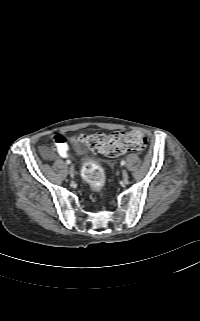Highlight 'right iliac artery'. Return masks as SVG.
I'll return each instance as SVG.
<instances>
[{
    "label": "right iliac artery",
    "instance_id": "obj_1",
    "mask_svg": "<svg viewBox=\"0 0 200 321\" xmlns=\"http://www.w3.org/2000/svg\"><path fill=\"white\" fill-rule=\"evenodd\" d=\"M66 163H67V164H70L71 162H70V160H67Z\"/></svg>",
    "mask_w": 200,
    "mask_h": 321
}]
</instances>
